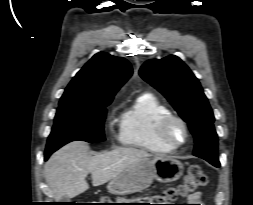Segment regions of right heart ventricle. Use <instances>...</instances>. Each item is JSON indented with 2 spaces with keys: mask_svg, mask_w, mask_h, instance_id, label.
<instances>
[{
  "mask_svg": "<svg viewBox=\"0 0 253 205\" xmlns=\"http://www.w3.org/2000/svg\"><path fill=\"white\" fill-rule=\"evenodd\" d=\"M172 115L170 108L152 93H142L119 118V141L124 146L153 153L173 151L158 138L157 129L165 117Z\"/></svg>",
  "mask_w": 253,
  "mask_h": 205,
  "instance_id": "right-heart-ventricle-1",
  "label": "right heart ventricle"
}]
</instances>
